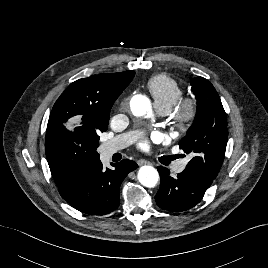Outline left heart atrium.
Segmentation results:
<instances>
[{
    "label": "left heart atrium",
    "instance_id": "obj_1",
    "mask_svg": "<svg viewBox=\"0 0 268 268\" xmlns=\"http://www.w3.org/2000/svg\"><path fill=\"white\" fill-rule=\"evenodd\" d=\"M153 137L160 138L161 134L159 132H154ZM139 147L143 150H148L150 147V142L148 140H143L142 142H140Z\"/></svg>",
    "mask_w": 268,
    "mask_h": 268
}]
</instances>
